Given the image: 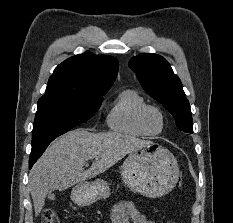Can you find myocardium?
Listing matches in <instances>:
<instances>
[{
  "label": "myocardium",
  "mask_w": 233,
  "mask_h": 223,
  "mask_svg": "<svg viewBox=\"0 0 233 223\" xmlns=\"http://www.w3.org/2000/svg\"><path fill=\"white\" fill-rule=\"evenodd\" d=\"M150 110H157L161 113L162 117H163V120H164V127H163V130L159 133H152L148 126H147V123H146V116H147V113L150 111ZM138 125L139 127L142 129V131L148 135V136H152V137H155V136H160V135H163L166 130H167V127H168V116H167V113L166 111L158 106V105H154V104H146L144 105L139 113H138Z\"/></svg>",
  "instance_id": "obj_1"
}]
</instances>
